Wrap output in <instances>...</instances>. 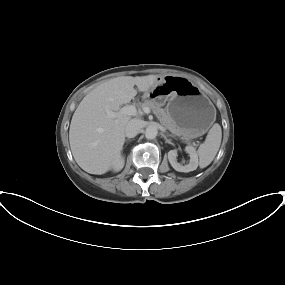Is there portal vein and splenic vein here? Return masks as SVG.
I'll return each mask as SVG.
<instances>
[{"mask_svg":"<svg viewBox=\"0 0 285 285\" xmlns=\"http://www.w3.org/2000/svg\"><path fill=\"white\" fill-rule=\"evenodd\" d=\"M144 113H150V109L148 107L143 108ZM138 114L137 109L134 105H126L119 110V112H113L107 110V116L110 118L121 117L123 115L136 116Z\"/></svg>","mask_w":285,"mask_h":285,"instance_id":"obj_1","label":"portal vein and splenic vein"}]
</instances>
